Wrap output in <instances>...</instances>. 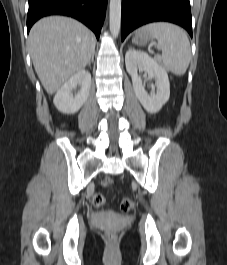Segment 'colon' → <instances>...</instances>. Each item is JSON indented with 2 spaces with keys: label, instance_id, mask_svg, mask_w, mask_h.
<instances>
[{
  "label": "colon",
  "instance_id": "1",
  "mask_svg": "<svg viewBox=\"0 0 227 265\" xmlns=\"http://www.w3.org/2000/svg\"><path fill=\"white\" fill-rule=\"evenodd\" d=\"M102 184L103 186L109 188L113 185V180L109 177H106L102 180ZM92 203L95 207H103L106 203V200L102 194L95 193L92 197ZM134 207H135L134 200L130 197H126L121 201L120 208L122 212L128 213L132 211ZM105 237H106V240L111 243L114 242L116 239L115 234L111 232L107 233Z\"/></svg>",
  "mask_w": 227,
  "mask_h": 265
}]
</instances>
